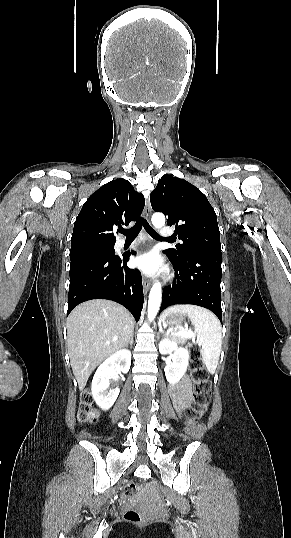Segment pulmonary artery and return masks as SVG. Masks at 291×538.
Instances as JSON below:
<instances>
[{
  "mask_svg": "<svg viewBox=\"0 0 291 538\" xmlns=\"http://www.w3.org/2000/svg\"><path fill=\"white\" fill-rule=\"evenodd\" d=\"M160 235L162 238L167 239L173 235V231L168 227H164L160 230Z\"/></svg>",
  "mask_w": 291,
  "mask_h": 538,
  "instance_id": "pulmonary-artery-1",
  "label": "pulmonary artery"
}]
</instances>
